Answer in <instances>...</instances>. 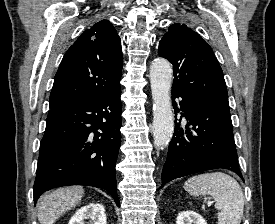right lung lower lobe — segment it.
I'll list each match as a JSON object with an SVG mask.
<instances>
[{"label": "right lung lower lobe", "mask_w": 275, "mask_h": 224, "mask_svg": "<svg viewBox=\"0 0 275 224\" xmlns=\"http://www.w3.org/2000/svg\"><path fill=\"white\" fill-rule=\"evenodd\" d=\"M120 96L117 88L49 111L33 187L35 203L52 188L86 185L107 190L120 206L115 171L121 143Z\"/></svg>", "instance_id": "1"}]
</instances>
